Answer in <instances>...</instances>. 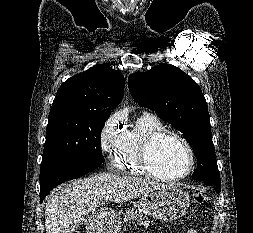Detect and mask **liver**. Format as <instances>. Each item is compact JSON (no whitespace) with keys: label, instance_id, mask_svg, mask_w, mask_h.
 Instances as JSON below:
<instances>
[{"label":"liver","instance_id":"6515ba94","mask_svg":"<svg viewBox=\"0 0 253 233\" xmlns=\"http://www.w3.org/2000/svg\"><path fill=\"white\" fill-rule=\"evenodd\" d=\"M166 185L142 178L102 173L70 182L47 200L46 233H73L89 213H94L107 195L115 203L145 195Z\"/></svg>","mask_w":253,"mask_h":233}]
</instances>
